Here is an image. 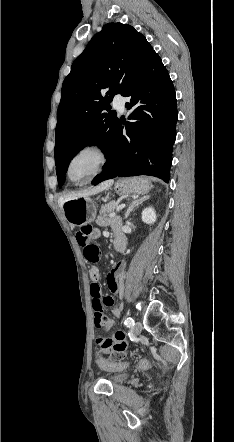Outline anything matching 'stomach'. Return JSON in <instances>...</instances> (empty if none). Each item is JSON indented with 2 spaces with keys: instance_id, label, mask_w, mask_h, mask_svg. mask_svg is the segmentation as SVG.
<instances>
[{
  "instance_id": "obj_1",
  "label": "stomach",
  "mask_w": 234,
  "mask_h": 442,
  "mask_svg": "<svg viewBox=\"0 0 234 442\" xmlns=\"http://www.w3.org/2000/svg\"><path fill=\"white\" fill-rule=\"evenodd\" d=\"M152 188L149 179L144 177L119 179L114 189L117 194H144ZM62 210L66 220L73 226L91 223L96 217V206L92 199L79 197L63 204Z\"/></svg>"
}]
</instances>
